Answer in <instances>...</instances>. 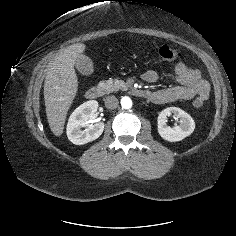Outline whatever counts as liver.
Returning <instances> with one entry per match:
<instances>
[{"label":"liver","mask_w":236,"mask_h":236,"mask_svg":"<svg viewBox=\"0 0 236 236\" xmlns=\"http://www.w3.org/2000/svg\"><path fill=\"white\" fill-rule=\"evenodd\" d=\"M82 43L61 49L47 65L44 81V100L49 127L55 136H61L67 112L78 91L74 65L83 55Z\"/></svg>","instance_id":"liver-1"}]
</instances>
